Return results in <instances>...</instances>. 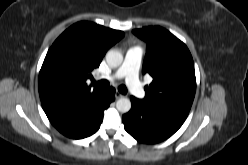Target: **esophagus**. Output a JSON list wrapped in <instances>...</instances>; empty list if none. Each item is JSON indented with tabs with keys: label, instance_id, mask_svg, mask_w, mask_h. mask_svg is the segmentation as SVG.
I'll use <instances>...</instances> for the list:
<instances>
[{
	"label": "esophagus",
	"instance_id": "34e87169",
	"mask_svg": "<svg viewBox=\"0 0 248 165\" xmlns=\"http://www.w3.org/2000/svg\"><path fill=\"white\" fill-rule=\"evenodd\" d=\"M124 95L123 94H121L120 92H116L115 93V98L116 99H119V98H121V97H123Z\"/></svg>",
	"mask_w": 248,
	"mask_h": 165
}]
</instances>
